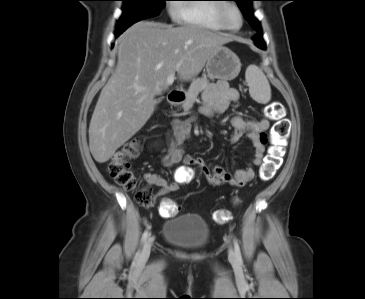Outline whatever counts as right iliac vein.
I'll return each mask as SVG.
<instances>
[{
	"mask_svg": "<svg viewBox=\"0 0 365 299\" xmlns=\"http://www.w3.org/2000/svg\"><path fill=\"white\" fill-rule=\"evenodd\" d=\"M151 248H152V239L148 238L144 244L142 253L140 255L141 262H146L148 260V258L150 256Z\"/></svg>",
	"mask_w": 365,
	"mask_h": 299,
	"instance_id": "63e3f726",
	"label": "right iliac vein"
}]
</instances>
